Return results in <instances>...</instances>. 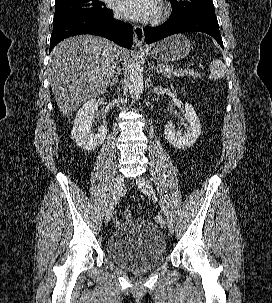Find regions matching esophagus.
<instances>
[{
    "mask_svg": "<svg viewBox=\"0 0 272 303\" xmlns=\"http://www.w3.org/2000/svg\"><path fill=\"white\" fill-rule=\"evenodd\" d=\"M134 43L137 47L144 45V29L140 25L134 26Z\"/></svg>",
    "mask_w": 272,
    "mask_h": 303,
    "instance_id": "34e87169",
    "label": "esophagus"
}]
</instances>
